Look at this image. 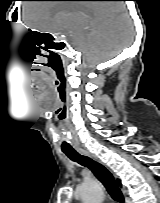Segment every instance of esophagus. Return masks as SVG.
<instances>
[{"label":"esophagus","instance_id":"1","mask_svg":"<svg viewBox=\"0 0 160 203\" xmlns=\"http://www.w3.org/2000/svg\"><path fill=\"white\" fill-rule=\"evenodd\" d=\"M79 152H80L81 154H83V155H87V156L92 157V158H94L95 160H97L93 155H91V154H90L88 151H86V150L79 149ZM123 194H124L125 199H126L127 192H126V190H125L124 188H123Z\"/></svg>","mask_w":160,"mask_h":203}]
</instances>
